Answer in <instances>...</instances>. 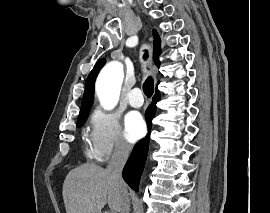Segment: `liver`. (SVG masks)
I'll use <instances>...</instances> for the list:
<instances>
[{
    "mask_svg": "<svg viewBox=\"0 0 270 213\" xmlns=\"http://www.w3.org/2000/svg\"><path fill=\"white\" fill-rule=\"evenodd\" d=\"M126 189L114 176L98 165L83 164L66 176L62 195L66 213H101L108 203L111 210L119 212L121 190Z\"/></svg>",
    "mask_w": 270,
    "mask_h": 213,
    "instance_id": "1",
    "label": "liver"
}]
</instances>
